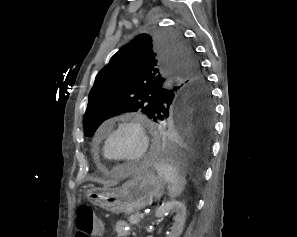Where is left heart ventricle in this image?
Listing matches in <instances>:
<instances>
[{
    "label": "left heart ventricle",
    "mask_w": 297,
    "mask_h": 237,
    "mask_svg": "<svg viewBox=\"0 0 297 237\" xmlns=\"http://www.w3.org/2000/svg\"><path fill=\"white\" fill-rule=\"evenodd\" d=\"M140 149V140L136 132L124 128L115 134L109 144L108 152L118 158H129L136 155Z\"/></svg>",
    "instance_id": "1"
}]
</instances>
